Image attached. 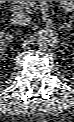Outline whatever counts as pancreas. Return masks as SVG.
Returning a JSON list of instances; mask_svg holds the SVG:
<instances>
[{"mask_svg":"<svg viewBox=\"0 0 74 122\" xmlns=\"http://www.w3.org/2000/svg\"><path fill=\"white\" fill-rule=\"evenodd\" d=\"M19 8H30L34 7L35 1H13Z\"/></svg>","mask_w":74,"mask_h":122,"instance_id":"pancreas-1","label":"pancreas"}]
</instances>
